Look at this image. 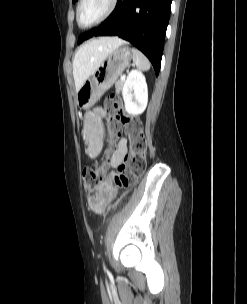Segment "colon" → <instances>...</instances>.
<instances>
[{"mask_svg": "<svg viewBox=\"0 0 247 304\" xmlns=\"http://www.w3.org/2000/svg\"><path fill=\"white\" fill-rule=\"evenodd\" d=\"M107 106L110 112L107 118L109 134L107 150L114 147L115 138L124 129L130 140V151L123 163L118 166L117 172L107 179H104V161L92 168L84 169L82 178L85 190L92 192L99 187L88 199L89 205L95 212L105 209L117 189L133 187L146 167L147 146L141 122L135 117L124 114L121 103L115 96L108 98Z\"/></svg>", "mask_w": 247, "mask_h": 304, "instance_id": "1", "label": "colon"}]
</instances>
